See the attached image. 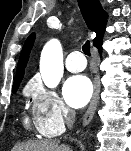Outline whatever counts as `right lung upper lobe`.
<instances>
[{
	"label": "right lung upper lobe",
	"instance_id": "right-lung-upper-lobe-1",
	"mask_svg": "<svg viewBox=\"0 0 131 151\" xmlns=\"http://www.w3.org/2000/svg\"><path fill=\"white\" fill-rule=\"evenodd\" d=\"M78 4L88 28L96 33V37L93 40V44L95 46L102 42L107 14L101 9L98 0H78ZM34 39L35 34L32 33L27 38L24 47L21 51L16 76L13 83V89L19 87V84L24 76V69L27 65L29 54L34 43Z\"/></svg>",
	"mask_w": 131,
	"mask_h": 151
}]
</instances>
